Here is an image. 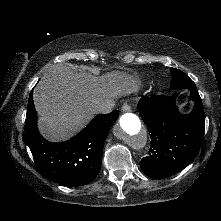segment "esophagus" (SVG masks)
Masks as SVG:
<instances>
[{
	"instance_id": "34e87169",
	"label": "esophagus",
	"mask_w": 221,
	"mask_h": 221,
	"mask_svg": "<svg viewBox=\"0 0 221 221\" xmlns=\"http://www.w3.org/2000/svg\"><path fill=\"white\" fill-rule=\"evenodd\" d=\"M122 112H130L131 106L128 103H124L121 107Z\"/></svg>"
}]
</instances>
